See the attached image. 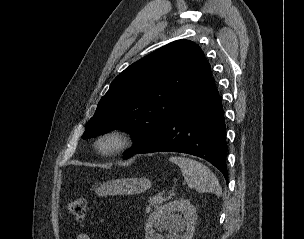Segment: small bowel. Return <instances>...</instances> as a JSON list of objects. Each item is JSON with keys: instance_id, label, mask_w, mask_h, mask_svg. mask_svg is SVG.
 <instances>
[{"instance_id": "c3829d8e", "label": "small bowel", "mask_w": 304, "mask_h": 239, "mask_svg": "<svg viewBox=\"0 0 304 239\" xmlns=\"http://www.w3.org/2000/svg\"><path fill=\"white\" fill-rule=\"evenodd\" d=\"M75 239H90V236L87 233H79Z\"/></svg>"}]
</instances>
